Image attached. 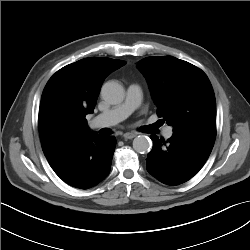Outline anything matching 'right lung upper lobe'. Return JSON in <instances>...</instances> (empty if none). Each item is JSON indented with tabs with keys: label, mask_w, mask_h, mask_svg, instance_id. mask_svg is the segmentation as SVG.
I'll return each instance as SVG.
<instances>
[{
	"label": "right lung upper lobe",
	"mask_w": 250,
	"mask_h": 250,
	"mask_svg": "<svg viewBox=\"0 0 250 250\" xmlns=\"http://www.w3.org/2000/svg\"><path fill=\"white\" fill-rule=\"evenodd\" d=\"M125 64L89 57L61 68L50 78L42 94L38 119L45 155L91 133L85 117L94 111L105 78Z\"/></svg>",
	"instance_id": "1"
}]
</instances>
